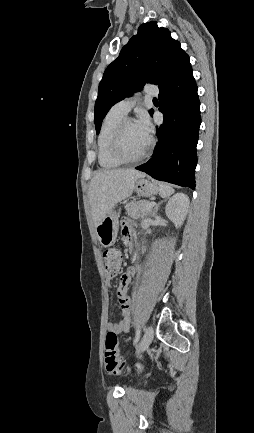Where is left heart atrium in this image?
<instances>
[{"mask_svg":"<svg viewBox=\"0 0 254 433\" xmlns=\"http://www.w3.org/2000/svg\"><path fill=\"white\" fill-rule=\"evenodd\" d=\"M135 122L142 134L149 138L152 131V126L147 114L141 113Z\"/></svg>","mask_w":254,"mask_h":433,"instance_id":"obj_1","label":"left heart atrium"}]
</instances>
